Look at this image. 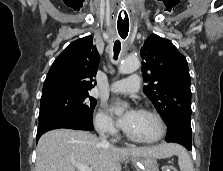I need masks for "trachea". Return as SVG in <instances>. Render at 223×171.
<instances>
[{"label": "trachea", "instance_id": "3493384b", "mask_svg": "<svg viewBox=\"0 0 223 171\" xmlns=\"http://www.w3.org/2000/svg\"><path fill=\"white\" fill-rule=\"evenodd\" d=\"M120 50H121V43L119 40H116L114 43V59L115 60H117Z\"/></svg>", "mask_w": 223, "mask_h": 171}]
</instances>
